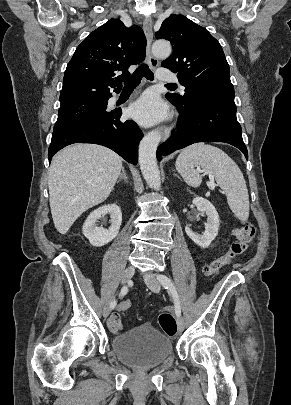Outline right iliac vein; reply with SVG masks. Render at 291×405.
<instances>
[{
	"label": "right iliac vein",
	"mask_w": 291,
	"mask_h": 405,
	"mask_svg": "<svg viewBox=\"0 0 291 405\" xmlns=\"http://www.w3.org/2000/svg\"><path fill=\"white\" fill-rule=\"evenodd\" d=\"M134 272H135V268L133 266L127 267L122 275L121 284L127 283L134 275ZM111 310H112V308L110 306V303L106 304L103 309V316L108 317L109 314L111 313Z\"/></svg>",
	"instance_id": "obj_1"
}]
</instances>
